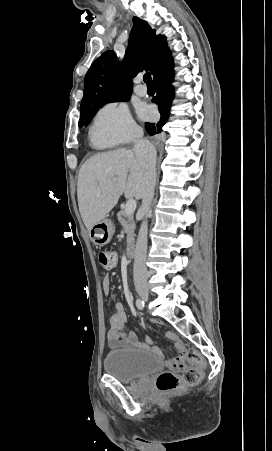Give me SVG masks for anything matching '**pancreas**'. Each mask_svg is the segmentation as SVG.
Returning <instances> with one entry per match:
<instances>
[{
  "instance_id": "cf45deb5",
  "label": "pancreas",
  "mask_w": 272,
  "mask_h": 451,
  "mask_svg": "<svg viewBox=\"0 0 272 451\" xmlns=\"http://www.w3.org/2000/svg\"><path fill=\"white\" fill-rule=\"evenodd\" d=\"M118 222L125 227V231L127 233V245H132L134 243V229L135 222L133 218V214H124V212H118Z\"/></svg>"
}]
</instances>
